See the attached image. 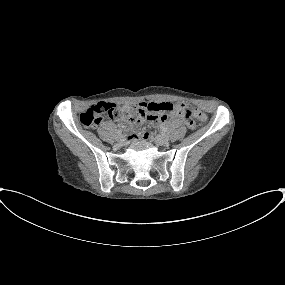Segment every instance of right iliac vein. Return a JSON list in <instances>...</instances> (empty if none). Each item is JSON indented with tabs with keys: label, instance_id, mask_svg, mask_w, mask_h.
Returning a JSON list of instances; mask_svg holds the SVG:
<instances>
[{
	"label": "right iliac vein",
	"instance_id": "1",
	"mask_svg": "<svg viewBox=\"0 0 285 285\" xmlns=\"http://www.w3.org/2000/svg\"><path fill=\"white\" fill-rule=\"evenodd\" d=\"M117 141H118V143H119L120 146H123V145H125V143H126V139H125L124 136H119V137L117 138Z\"/></svg>",
	"mask_w": 285,
	"mask_h": 285
}]
</instances>
